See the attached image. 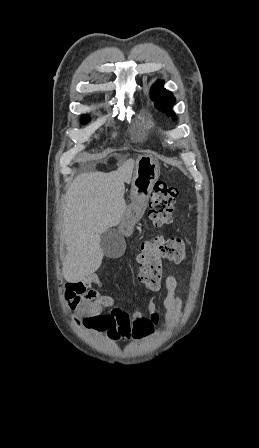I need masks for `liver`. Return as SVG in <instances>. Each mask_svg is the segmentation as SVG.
<instances>
[{
	"label": "liver",
	"mask_w": 259,
	"mask_h": 448,
	"mask_svg": "<svg viewBox=\"0 0 259 448\" xmlns=\"http://www.w3.org/2000/svg\"><path fill=\"white\" fill-rule=\"evenodd\" d=\"M134 160L116 172H86L66 192L63 238L68 254L63 262L66 282H81L100 268L104 252L101 236L120 224L126 210L124 182H130Z\"/></svg>",
	"instance_id": "obj_1"
}]
</instances>
